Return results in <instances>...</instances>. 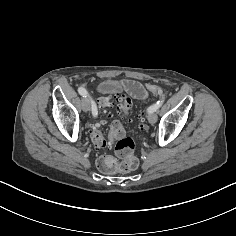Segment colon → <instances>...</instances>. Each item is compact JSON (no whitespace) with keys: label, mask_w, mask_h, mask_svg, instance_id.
Instances as JSON below:
<instances>
[{"label":"colon","mask_w":236,"mask_h":236,"mask_svg":"<svg viewBox=\"0 0 236 236\" xmlns=\"http://www.w3.org/2000/svg\"><path fill=\"white\" fill-rule=\"evenodd\" d=\"M130 89L133 92L138 89H145L152 94H163L166 92L165 89L154 84H146L145 86L133 84L130 86ZM131 106V99L125 95L111 94L98 99L100 113L92 126V142L99 148L112 146L117 156L122 160L118 162L110 155L100 156L97 160V165L104 173H127L136 170L138 167V159L135 156V142L133 138L126 134V130L120 121L116 120L111 123L107 137L101 131L106 117L110 114L108 109L115 108L122 114L127 115Z\"/></svg>","instance_id":"1"}]
</instances>
